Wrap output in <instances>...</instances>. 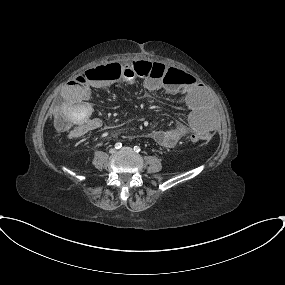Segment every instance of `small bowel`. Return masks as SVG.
<instances>
[{
	"label": "small bowel",
	"instance_id": "obj_1",
	"mask_svg": "<svg viewBox=\"0 0 285 285\" xmlns=\"http://www.w3.org/2000/svg\"><path fill=\"white\" fill-rule=\"evenodd\" d=\"M108 65L90 68L89 70H103L100 79H86L79 75L71 79L62 89L63 101L56 106L57 111H74L75 129L71 136L80 137L89 131L96 130L102 126L99 118H90L92 108L88 97L92 89L107 87L120 80V75L112 70H107ZM186 83L176 86H165L159 80L146 79L143 81L144 88L149 92L166 89L172 94L180 96L188 109V123L178 124L169 130H157L150 137L163 148L174 147L183 137L191 132L210 133L216 129V120L212 112L206 107L207 95L203 87L197 85L192 77ZM133 78H130L132 80Z\"/></svg>",
	"mask_w": 285,
	"mask_h": 285
}]
</instances>
